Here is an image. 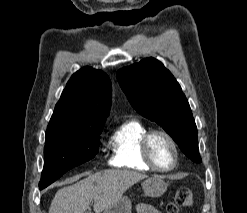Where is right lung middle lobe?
I'll list each match as a JSON object with an SVG mask.
<instances>
[{"label":"right lung middle lobe","instance_id":"1","mask_svg":"<svg viewBox=\"0 0 247 213\" xmlns=\"http://www.w3.org/2000/svg\"><path fill=\"white\" fill-rule=\"evenodd\" d=\"M103 126L48 127L44 147V168L39 188L47 187L69 169L92 159L99 150Z\"/></svg>","mask_w":247,"mask_h":213}]
</instances>
